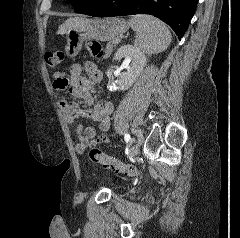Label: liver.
<instances>
[{
	"mask_svg": "<svg viewBox=\"0 0 240 238\" xmlns=\"http://www.w3.org/2000/svg\"><path fill=\"white\" fill-rule=\"evenodd\" d=\"M84 19L82 18H78V17H75V18H69L67 19L62 25L59 26V29H58V34H64L66 33L69 29H75V28H78L82 21Z\"/></svg>",
	"mask_w": 240,
	"mask_h": 238,
	"instance_id": "obj_1",
	"label": "liver"
}]
</instances>
